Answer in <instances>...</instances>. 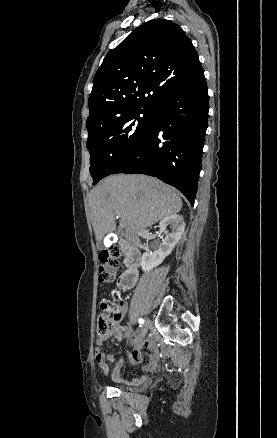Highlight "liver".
<instances>
[{"label": "liver", "instance_id": "1", "mask_svg": "<svg viewBox=\"0 0 277 438\" xmlns=\"http://www.w3.org/2000/svg\"><path fill=\"white\" fill-rule=\"evenodd\" d=\"M89 198L97 242L116 230L115 216L121 218L122 230L141 232L182 208L175 188L143 174L109 176L91 190Z\"/></svg>", "mask_w": 277, "mask_h": 438}]
</instances>
